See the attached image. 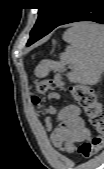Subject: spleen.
<instances>
[{
    "label": "spleen",
    "instance_id": "3e777b00",
    "mask_svg": "<svg viewBox=\"0 0 104 169\" xmlns=\"http://www.w3.org/2000/svg\"><path fill=\"white\" fill-rule=\"evenodd\" d=\"M63 39L69 43L60 61H42L36 68L38 77L50 70L63 71L70 64L73 69L67 77L70 82L96 85L104 71V27L95 23H77L68 29Z\"/></svg>",
    "mask_w": 104,
    "mask_h": 169
}]
</instances>
